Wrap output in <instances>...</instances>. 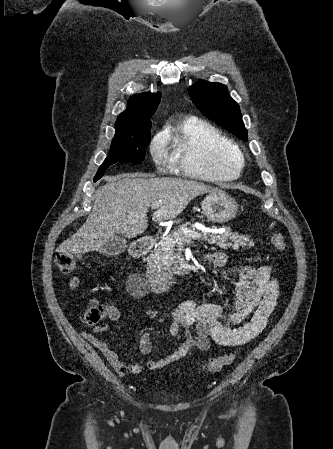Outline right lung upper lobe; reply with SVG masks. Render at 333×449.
<instances>
[{"label": "right lung upper lobe", "instance_id": "obj_1", "mask_svg": "<svg viewBox=\"0 0 333 449\" xmlns=\"http://www.w3.org/2000/svg\"><path fill=\"white\" fill-rule=\"evenodd\" d=\"M161 98V93H143L129 99L127 109L116 121L114 138L138 137L144 124L155 112Z\"/></svg>", "mask_w": 333, "mask_h": 449}]
</instances>
